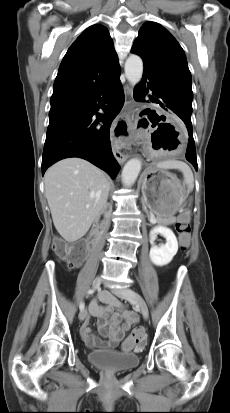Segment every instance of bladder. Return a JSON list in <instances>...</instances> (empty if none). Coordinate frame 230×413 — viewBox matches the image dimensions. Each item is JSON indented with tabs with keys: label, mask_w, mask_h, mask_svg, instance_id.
<instances>
[{
	"label": "bladder",
	"mask_w": 230,
	"mask_h": 413,
	"mask_svg": "<svg viewBox=\"0 0 230 413\" xmlns=\"http://www.w3.org/2000/svg\"><path fill=\"white\" fill-rule=\"evenodd\" d=\"M88 360L94 366L108 373H118L133 369L139 365L140 358L134 353L111 350H94L88 354Z\"/></svg>",
	"instance_id": "31cf9c89"
}]
</instances>
